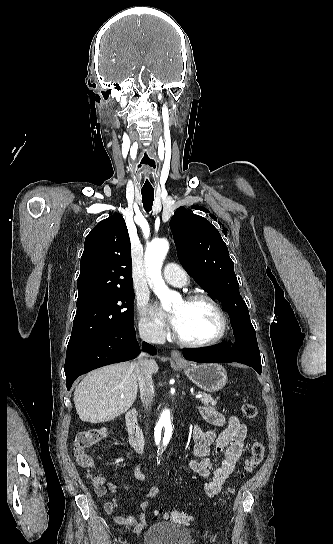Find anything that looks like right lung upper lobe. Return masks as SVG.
Listing matches in <instances>:
<instances>
[{"label":"right lung upper lobe","instance_id":"1","mask_svg":"<svg viewBox=\"0 0 333 544\" xmlns=\"http://www.w3.org/2000/svg\"><path fill=\"white\" fill-rule=\"evenodd\" d=\"M131 247L121 214L99 222L87 235L77 280L78 299L132 289Z\"/></svg>","mask_w":333,"mask_h":544}]
</instances>
